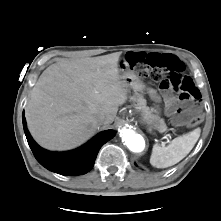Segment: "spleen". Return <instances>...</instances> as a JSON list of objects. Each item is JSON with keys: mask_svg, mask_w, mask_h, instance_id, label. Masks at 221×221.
Wrapping results in <instances>:
<instances>
[{"mask_svg": "<svg viewBox=\"0 0 221 221\" xmlns=\"http://www.w3.org/2000/svg\"><path fill=\"white\" fill-rule=\"evenodd\" d=\"M201 129L193 131L173 139L169 145L160 146L155 144L152 149L150 163L156 168L173 166L185 158L200 137Z\"/></svg>", "mask_w": 221, "mask_h": 221, "instance_id": "spleen-1", "label": "spleen"}]
</instances>
